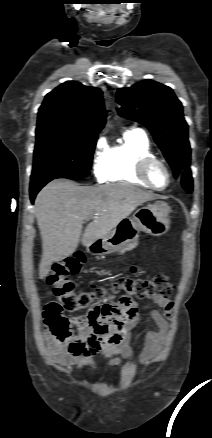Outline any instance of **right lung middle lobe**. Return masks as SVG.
Instances as JSON below:
<instances>
[{
	"label": "right lung middle lobe",
	"instance_id": "1",
	"mask_svg": "<svg viewBox=\"0 0 212 438\" xmlns=\"http://www.w3.org/2000/svg\"><path fill=\"white\" fill-rule=\"evenodd\" d=\"M97 138V133L36 132L31 179L45 176L76 179L89 175Z\"/></svg>",
	"mask_w": 212,
	"mask_h": 438
}]
</instances>
